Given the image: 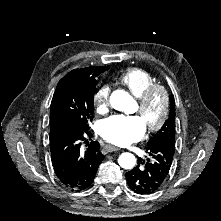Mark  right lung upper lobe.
I'll return each mask as SVG.
<instances>
[{
	"mask_svg": "<svg viewBox=\"0 0 221 221\" xmlns=\"http://www.w3.org/2000/svg\"><path fill=\"white\" fill-rule=\"evenodd\" d=\"M100 68H102V67L92 66V67H87V68H84V69H74V70H72L71 72H69L66 76H68V75H70V74H73V73L93 74L94 72H96V71L99 70Z\"/></svg>",
	"mask_w": 221,
	"mask_h": 221,
	"instance_id": "cb5924a9",
	"label": "right lung upper lobe"
}]
</instances>
